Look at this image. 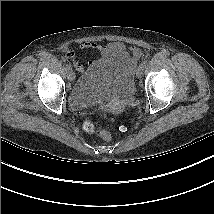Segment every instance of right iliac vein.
<instances>
[{
	"mask_svg": "<svg viewBox=\"0 0 214 214\" xmlns=\"http://www.w3.org/2000/svg\"><path fill=\"white\" fill-rule=\"evenodd\" d=\"M68 79L70 81H74V79H75V73L71 68L68 69Z\"/></svg>",
	"mask_w": 214,
	"mask_h": 214,
	"instance_id": "right-iliac-vein-1",
	"label": "right iliac vein"
}]
</instances>
